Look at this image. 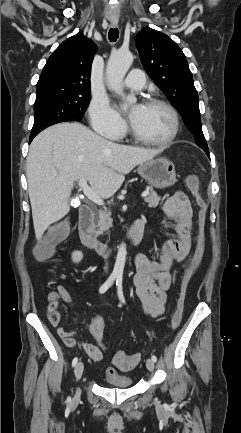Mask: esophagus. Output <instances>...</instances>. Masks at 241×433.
I'll return each instance as SVG.
<instances>
[{"mask_svg": "<svg viewBox=\"0 0 241 433\" xmlns=\"http://www.w3.org/2000/svg\"><path fill=\"white\" fill-rule=\"evenodd\" d=\"M111 25H112V27H116L118 25V22L117 21H112Z\"/></svg>", "mask_w": 241, "mask_h": 433, "instance_id": "34e87169", "label": "esophagus"}]
</instances>
